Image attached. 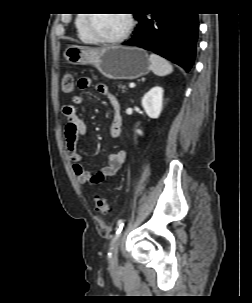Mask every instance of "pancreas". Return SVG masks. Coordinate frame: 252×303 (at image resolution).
<instances>
[{"label": "pancreas", "mask_w": 252, "mask_h": 303, "mask_svg": "<svg viewBox=\"0 0 252 303\" xmlns=\"http://www.w3.org/2000/svg\"><path fill=\"white\" fill-rule=\"evenodd\" d=\"M118 87H119L120 89H122L123 91L126 89L125 85H122V84H119Z\"/></svg>", "instance_id": "cf45deb5"}]
</instances>
